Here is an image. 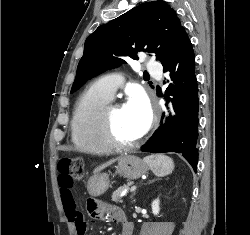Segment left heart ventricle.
<instances>
[{"label": "left heart ventricle", "instance_id": "obj_1", "mask_svg": "<svg viewBox=\"0 0 250 235\" xmlns=\"http://www.w3.org/2000/svg\"><path fill=\"white\" fill-rule=\"evenodd\" d=\"M114 130L117 138L122 142H133L140 138L133 115L124 106L114 112Z\"/></svg>", "mask_w": 250, "mask_h": 235}]
</instances>
